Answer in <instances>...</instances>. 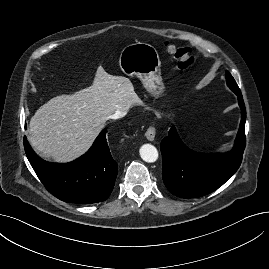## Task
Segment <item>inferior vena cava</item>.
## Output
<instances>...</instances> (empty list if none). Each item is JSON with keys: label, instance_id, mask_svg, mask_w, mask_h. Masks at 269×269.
Wrapping results in <instances>:
<instances>
[{"label": "inferior vena cava", "instance_id": "obj_1", "mask_svg": "<svg viewBox=\"0 0 269 269\" xmlns=\"http://www.w3.org/2000/svg\"><path fill=\"white\" fill-rule=\"evenodd\" d=\"M126 115V112L116 111L113 115L110 116L111 119H119Z\"/></svg>", "mask_w": 269, "mask_h": 269}]
</instances>
